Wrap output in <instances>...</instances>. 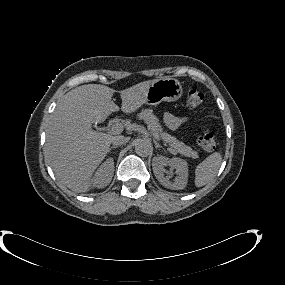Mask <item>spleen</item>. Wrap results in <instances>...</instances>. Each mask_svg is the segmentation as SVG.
<instances>
[{
  "label": "spleen",
  "instance_id": "1",
  "mask_svg": "<svg viewBox=\"0 0 285 285\" xmlns=\"http://www.w3.org/2000/svg\"><path fill=\"white\" fill-rule=\"evenodd\" d=\"M221 163V153L214 152L209 155L203 162L198 164L195 169V186L202 187L211 182L216 176Z\"/></svg>",
  "mask_w": 285,
  "mask_h": 285
}]
</instances>
